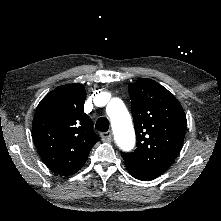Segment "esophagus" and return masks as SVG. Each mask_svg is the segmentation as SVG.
Returning a JSON list of instances; mask_svg holds the SVG:
<instances>
[{"instance_id": "1", "label": "esophagus", "mask_w": 221, "mask_h": 221, "mask_svg": "<svg viewBox=\"0 0 221 221\" xmlns=\"http://www.w3.org/2000/svg\"><path fill=\"white\" fill-rule=\"evenodd\" d=\"M100 137L104 142H110L112 138L111 131L101 132Z\"/></svg>"}]
</instances>
